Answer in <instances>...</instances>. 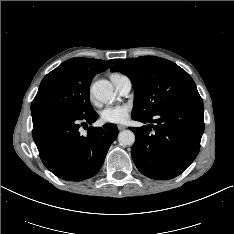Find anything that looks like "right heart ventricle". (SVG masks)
<instances>
[{
    "instance_id": "e07e8e85",
    "label": "right heart ventricle",
    "mask_w": 234,
    "mask_h": 234,
    "mask_svg": "<svg viewBox=\"0 0 234 234\" xmlns=\"http://www.w3.org/2000/svg\"><path fill=\"white\" fill-rule=\"evenodd\" d=\"M119 75H120V74L115 73V74H113L111 77L119 76Z\"/></svg>"
}]
</instances>
